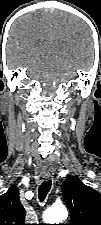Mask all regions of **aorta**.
<instances>
[{
  "mask_svg": "<svg viewBox=\"0 0 101 225\" xmlns=\"http://www.w3.org/2000/svg\"><path fill=\"white\" fill-rule=\"evenodd\" d=\"M68 216V211L63 205H53L43 213V221L46 224H59Z\"/></svg>",
  "mask_w": 101,
  "mask_h": 225,
  "instance_id": "obj_1",
  "label": "aorta"
}]
</instances>
